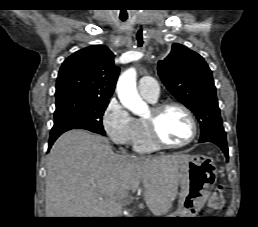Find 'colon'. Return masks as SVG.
I'll use <instances>...</instances> for the list:
<instances>
[{
  "label": "colon",
  "mask_w": 258,
  "mask_h": 227,
  "mask_svg": "<svg viewBox=\"0 0 258 227\" xmlns=\"http://www.w3.org/2000/svg\"><path fill=\"white\" fill-rule=\"evenodd\" d=\"M224 189L222 186H218L215 191L213 192L211 201H210V207L213 209H221L224 205Z\"/></svg>",
  "instance_id": "1"
}]
</instances>
